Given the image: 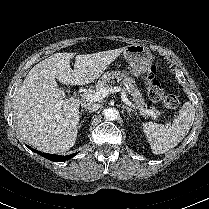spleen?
Listing matches in <instances>:
<instances>
[{
	"label": "spleen",
	"instance_id": "spleen-1",
	"mask_svg": "<svg viewBox=\"0 0 209 209\" xmlns=\"http://www.w3.org/2000/svg\"><path fill=\"white\" fill-rule=\"evenodd\" d=\"M195 118V108L186 102L171 126L153 122L143 123V131L154 154H163L177 146L188 134Z\"/></svg>",
	"mask_w": 209,
	"mask_h": 209
}]
</instances>
